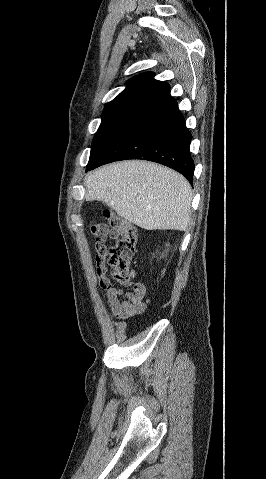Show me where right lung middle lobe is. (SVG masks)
<instances>
[{
    "mask_svg": "<svg viewBox=\"0 0 266 479\" xmlns=\"http://www.w3.org/2000/svg\"><path fill=\"white\" fill-rule=\"evenodd\" d=\"M137 112L123 111L108 114H102V122L94 136L89 167L109 141L133 118Z\"/></svg>",
    "mask_w": 266,
    "mask_h": 479,
    "instance_id": "dd1d6c3e",
    "label": "right lung middle lobe"
}]
</instances>
